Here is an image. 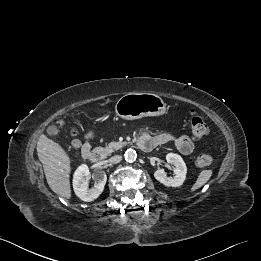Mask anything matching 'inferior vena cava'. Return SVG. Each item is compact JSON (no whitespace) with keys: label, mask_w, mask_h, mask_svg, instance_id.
<instances>
[{"label":"inferior vena cava","mask_w":261,"mask_h":261,"mask_svg":"<svg viewBox=\"0 0 261 261\" xmlns=\"http://www.w3.org/2000/svg\"><path fill=\"white\" fill-rule=\"evenodd\" d=\"M121 160H122V156L120 155H115L109 159L110 163L112 164L119 163Z\"/></svg>","instance_id":"602c4592"}]
</instances>
